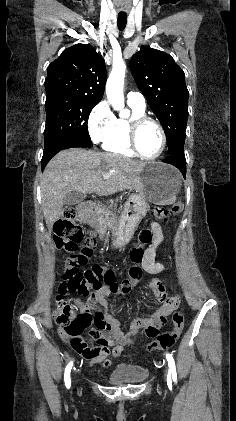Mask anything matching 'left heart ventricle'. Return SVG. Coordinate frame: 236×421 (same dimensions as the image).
<instances>
[{"label":"left heart ventricle","mask_w":236,"mask_h":421,"mask_svg":"<svg viewBox=\"0 0 236 421\" xmlns=\"http://www.w3.org/2000/svg\"><path fill=\"white\" fill-rule=\"evenodd\" d=\"M137 145L140 152L145 156H154L161 146V137L157 127L145 122L137 130Z\"/></svg>","instance_id":"obj_1"}]
</instances>
